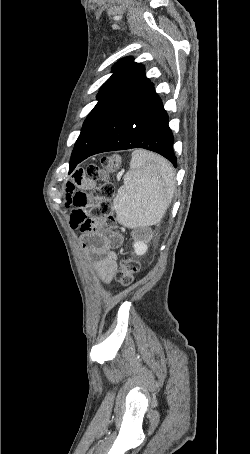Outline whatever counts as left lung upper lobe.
Wrapping results in <instances>:
<instances>
[{"label":"left lung upper lobe","instance_id":"5c2ea615","mask_svg":"<svg viewBox=\"0 0 250 454\" xmlns=\"http://www.w3.org/2000/svg\"><path fill=\"white\" fill-rule=\"evenodd\" d=\"M144 71V66L135 63L131 57H126L113 66V74L100 88L98 103L83 124L72 156H80L103 122L150 83Z\"/></svg>","mask_w":250,"mask_h":454}]
</instances>
